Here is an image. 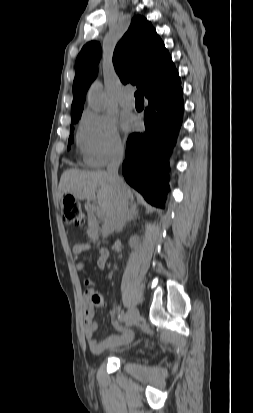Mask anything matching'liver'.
<instances>
[{"instance_id":"6515ba94","label":"liver","mask_w":253,"mask_h":413,"mask_svg":"<svg viewBox=\"0 0 253 413\" xmlns=\"http://www.w3.org/2000/svg\"><path fill=\"white\" fill-rule=\"evenodd\" d=\"M124 186L127 200L130 199L133 202L134 197L130 187L125 183ZM64 194H71L78 200L97 199L99 207L106 215L114 201V189L108 174L104 171L87 172L76 169L64 171L58 186L59 198Z\"/></svg>"}]
</instances>
